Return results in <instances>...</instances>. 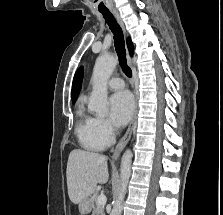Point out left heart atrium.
<instances>
[{"mask_svg":"<svg viewBox=\"0 0 223 215\" xmlns=\"http://www.w3.org/2000/svg\"><path fill=\"white\" fill-rule=\"evenodd\" d=\"M110 117L116 126L125 125L130 119L134 101L132 95L128 91H119L114 93L109 99Z\"/></svg>","mask_w":223,"mask_h":215,"instance_id":"obj_1","label":"left heart atrium"}]
</instances>
